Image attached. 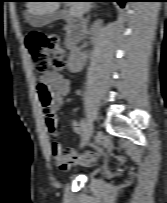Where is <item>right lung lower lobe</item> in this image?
<instances>
[{"label": "right lung lower lobe", "mask_w": 167, "mask_h": 203, "mask_svg": "<svg viewBox=\"0 0 167 203\" xmlns=\"http://www.w3.org/2000/svg\"><path fill=\"white\" fill-rule=\"evenodd\" d=\"M32 1V0H28ZM80 1H106V2H117L120 7H124L125 2H131V0H80Z\"/></svg>", "instance_id": "98d812e1"}]
</instances>
